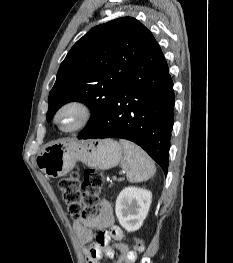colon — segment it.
I'll use <instances>...</instances> for the list:
<instances>
[{"label":"colon","mask_w":233,"mask_h":263,"mask_svg":"<svg viewBox=\"0 0 233 263\" xmlns=\"http://www.w3.org/2000/svg\"><path fill=\"white\" fill-rule=\"evenodd\" d=\"M104 185L103 174L94 169L84 172L82 180L77 172H72L59 181L62 199L70 216L75 219H93L98 215L99 194ZM133 249L143 252L145 242L141 238L133 240Z\"/></svg>","instance_id":"colon-1"}]
</instances>
